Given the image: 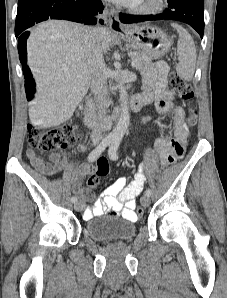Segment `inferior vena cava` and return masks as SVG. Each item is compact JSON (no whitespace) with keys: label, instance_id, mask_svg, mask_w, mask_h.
<instances>
[{"label":"inferior vena cava","instance_id":"602c4592","mask_svg":"<svg viewBox=\"0 0 227 298\" xmlns=\"http://www.w3.org/2000/svg\"><path fill=\"white\" fill-rule=\"evenodd\" d=\"M86 33V49L91 74V91L97 102L98 117L102 120L106 115L105 106L108 93L106 65L96 31L94 29H88ZM91 137L95 141H100L103 138L102 126L95 128L92 131Z\"/></svg>","mask_w":227,"mask_h":298}]
</instances>
